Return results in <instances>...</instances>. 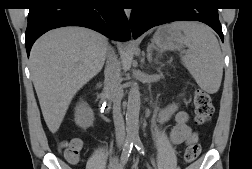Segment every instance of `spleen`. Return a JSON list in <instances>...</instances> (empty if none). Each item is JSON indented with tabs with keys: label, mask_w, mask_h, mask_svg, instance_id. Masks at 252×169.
Returning a JSON list of instances; mask_svg holds the SVG:
<instances>
[{
	"label": "spleen",
	"mask_w": 252,
	"mask_h": 169,
	"mask_svg": "<svg viewBox=\"0 0 252 169\" xmlns=\"http://www.w3.org/2000/svg\"><path fill=\"white\" fill-rule=\"evenodd\" d=\"M174 27L185 35L188 51L182 56L185 67L199 87L216 93L223 75V56L217 38L209 27L197 22H177Z\"/></svg>",
	"instance_id": "spleen-1"
}]
</instances>
